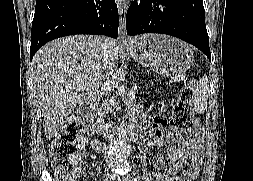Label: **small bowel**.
<instances>
[{
	"instance_id": "1",
	"label": "small bowel",
	"mask_w": 253,
	"mask_h": 181,
	"mask_svg": "<svg viewBox=\"0 0 253 181\" xmlns=\"http://www.w3.org/2000/svg\"><path fill=\"white\" fill-rule=\"evenodd\" d=\"M97 152L100 143L92 144ZM156 147H165L169 165L166 168L163 157L155 152L153 166L158 171L152 176L153 181H173L175 175H181V181H194L199 173L204 157L201 132L188 138H182L173 128L166 126L162 117H157L151 129L149 140L145 143V149L155 151Z\"/></svg>"
}]
</instances>
